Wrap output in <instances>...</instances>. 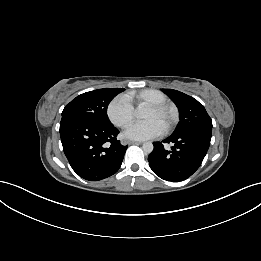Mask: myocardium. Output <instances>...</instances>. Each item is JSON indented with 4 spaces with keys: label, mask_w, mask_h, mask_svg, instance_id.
Listing matches in <instances>:
<instances>
[{
    "label": "myocardium",
    "mask_w": 261,
    "mask_h": 261,
    "mask_svg": "<svg viewBox=\"0 0 261 261\" xmlns=\"http://www.w3.org/2000/svg\"><path fill=\"white\" fill-rule=\"evenodd\" d=\"M148 108L154 110L155 112L169 115V121L164 128L166 133L174 128L178 121V111L174 105L168 103L150 104L148 105Z\"/></svg>",
    "instance_id": "myocardium-1"
}]
</instances>
